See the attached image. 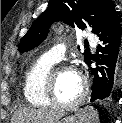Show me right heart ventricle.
<instances>
[{
    "label": "right heart ventricle",
    "instance_id": "e07e8e85",
    "mask_svg": "<svg viewBox=\"0 0 122 123\" xmlns=\"http://www.w3.org/2000/svg\"><path fill=\"white\" fill-rule=\"evenodd\" d=\"M56 62L47 56L37 59L28 69L24 80V96L29 104L35 107H49L45 87L49 71Z\"/></svg>",
    "mask_w": 122,
    "mask_h": 123
}]
</instances>
